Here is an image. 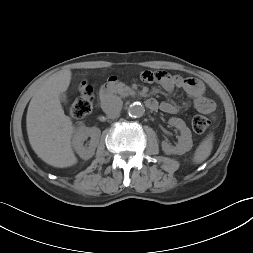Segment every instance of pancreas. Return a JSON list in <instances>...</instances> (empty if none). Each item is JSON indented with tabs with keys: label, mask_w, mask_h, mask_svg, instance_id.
I'll list each match as a JSON object with an SVG mask.
<instances>
[{
	"label": "pancreas",
	"mask_w": 253,
	"mask_h": 253,
	"mask_svg": "<svg viewBox=\"0 0 253 253\" xmlns=\"http://www.w3.org/2000/svg\"><path fill=\"white\" fill-rule=\"evenodd\" d=\"M116 92L122 97L135 94V92L129 86L125 85L122 82L117 84Z\"/></svg>",
	"instance_id": "obj_1"
}]
</instances>
